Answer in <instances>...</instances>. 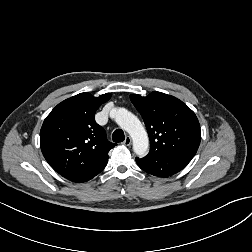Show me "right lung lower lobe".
<instances>
[{
    "label": "right lung lower lobe",
    "instance_id": "98d812e1",
    "mask_svg": "<svg viewBox=\"0 0 252 252\" xmlns=\"http://www.w3.org/2000/svg\"><path fill=\"white\" fill-rule=\"evenodd\" d=\"M105 168V166H101L98 168H95L93 170L84 172L82 174L76 175L74 177L69 178V180L73 181V182H86L90 179H92L93 177H95L97 174H99L103 169Z\"/></svg>",
    "mask_w": 252,
    "mask_h": 252
}]
</instances>
